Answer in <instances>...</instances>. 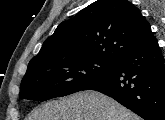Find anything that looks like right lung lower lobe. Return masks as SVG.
<instances>
[{
	"label": "right lung lower lobe",
	"instance_id": "1",
	"mask_svg": "<svg viewBox=\"0 0 165 120\" xmlns=\"http://www.w3.org/2000/svg\"><path fill=\"white\" fill-rule=\"evenodd\" d=\"M82 90L108 95L144 120H165V63L156 38L125 52L108 75Z\"/></svg>",
	"mask_w": 165,
	"mask_h": 120
}]
</instances>
